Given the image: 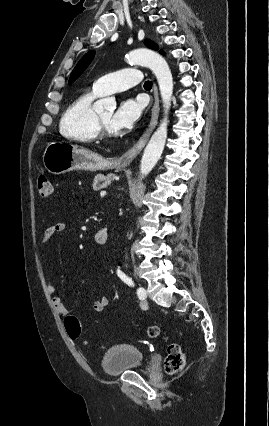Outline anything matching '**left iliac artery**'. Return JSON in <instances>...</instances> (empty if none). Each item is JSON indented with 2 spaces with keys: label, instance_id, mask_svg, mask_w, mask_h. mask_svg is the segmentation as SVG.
I'll use <instances>...</instances> for the list:
<instances>
[{
  "label": "left iliac artery",
  "instance_id": "obj_1",
  "mask_svg": "<svg viewBox=\"0 0 269 426\" xmlns=\"http://www.w3.org/2000/svg\"><path fill=\"white\" fill-rule=\"evenodd\" d=\"M117 274L118 276L129 286H134V283L132 281L131 278H129L128 276H126L122 271H120L119 269L117 270ZM137 295L138 298L140 300H144L146 298V291L144 290V288H138L137 289Z\"/></svg>",
  "mask_w": 269,
  "mask_h": 426
}]
</instances>
